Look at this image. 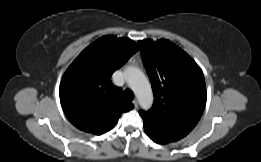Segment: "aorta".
Segmentation results:
<instances>
[{
	"label": "aorta",
	"mask_w": 261,
	"mask_h": 162,
	"mask_svg": "<svg viewBox=\"0 0 261 162\" xmlns=\"http://www.w3.org/2000/svg\"><path fill=\"white\" fill-rule=\"evenodd\" d=\"M125 79L135 93L140 106L149 109L153 103V93L145 74L137 67H128L125 70Z\"/></svg>",
	"instance_id": "obj_1"
}]
</instances>
